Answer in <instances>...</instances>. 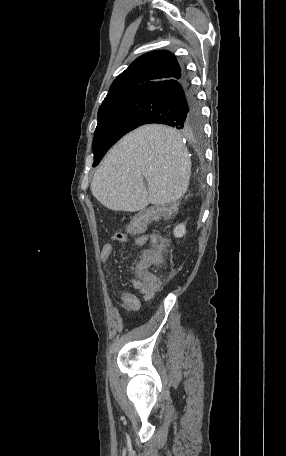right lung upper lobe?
<instances>
[{"mask_svg":"<svg viewBox=\"0 0 286 456\" xmlns=\"http://www.w3.org/2000/svg\"><path fill=\"white\" fill-rule=\"evenodd\" d=\"M181 75L182 71L177 59L169 51L158 50L146 53L137 58L114 80L102 105L128 97L149 85L175 79Z\"/></svg>","mask_w":286,"mask_h":456,"instance_id":"obj_1","label":"right lung upper lobe"}]
</instances>
